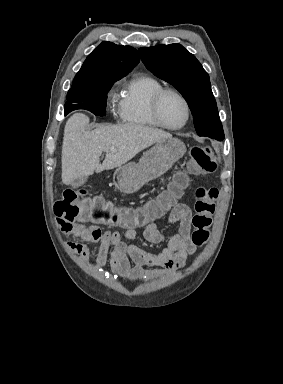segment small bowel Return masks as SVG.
Wrapping results in <instances>:
<instances>
[{
	"instance_id": "small-bowel-1",
	"label": "small bowel",
	"mask_w": 283,
	"mask_h": 384,
	"mask_svg": "<svg viewBox=\"0 0 283 384\" xmlns=\"http://www.w3.org/2000/svg\"><path fill=\"white\" fill-rule=\"evenodd\" d=\"M192 212L186 205L179 203L174 206L168 219L173 233H166L155 223H149L144 229L145 239L153 244L166 242V247L158 254L147 252L130 242L136 237L134 229H126L123 234L102 230L95 226L73 225L64 226L60 221V229L82 241L67 243V249L87 262L90 251L86 243H99L96 256L98 267L105 265L108 258L112 272L126 282H141L156 278L160 273L144 270V267H161L167 272L182 268L188 258L196 251L191 238ZM131 263L134 265L132 266Z\"/></svg>"
}]
</instances>
